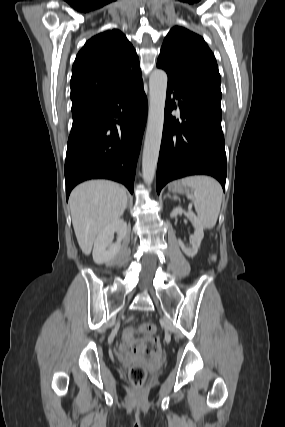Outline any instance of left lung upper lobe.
<instances>
[{
    "label": "left lung upper lobe",
    "instance_id": "1",
    "mask_svg": "<svg viewBox=\"0 0 285 427\" xmlns=\"http://www.w3.org/2000/svg\"><path fill=\"white\" fill-rule=\"evenodd\" d=\"M157 67L191 94L221 106V78L216 59L204 39L175 26L164 39Z\"/></svg>",
    "mask_w": 285,
    "mask_h": 427
}]
</instances>
